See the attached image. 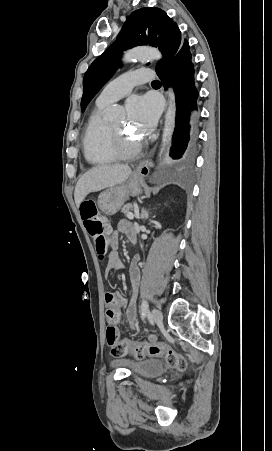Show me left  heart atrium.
<instances>
[{"instance_id":"39dd6f15","label":"left heart atrium","mask_w":272,"mask_h":451,"mask_svg":"<svg viewBox=\"0 0 272 451\" xmlns=\"http://www.w3.org/2000/svg\"><path fill=\"white\" fill-rule=\"evenodd\" d=\"M126 108L129 123L137 133L146 135L152 131L159 113L158 104L153 98L150 96L131 97Z\"/></svg>"}]
</instances>
